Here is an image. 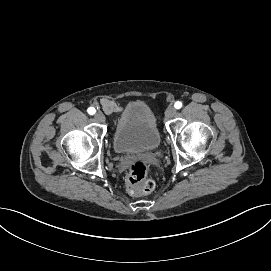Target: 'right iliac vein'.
<instances>
[{"mask_svg": "<svg viewBox=\"0 0 271 271\" xmlns=\"http://www.w3.org/2000/svg\"><path fill=\"white\" fill-rule=\"evenodd\" d=\"M94 119H95L96 121H98V122H104V121H105V116H104L103 113L97 112V113H95V115H94Z\"/></svg>", "mask_w": 271, "mask_h": 271, "instance_id": "63e3f726", "label": "right iliac vein"}]
</instances>
